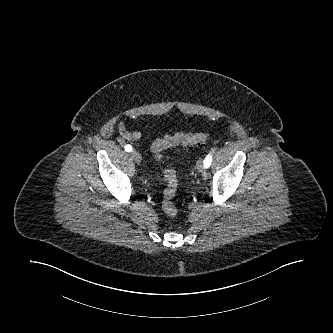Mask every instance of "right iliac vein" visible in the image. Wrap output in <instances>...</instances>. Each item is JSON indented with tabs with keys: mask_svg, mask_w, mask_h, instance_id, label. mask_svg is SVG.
<instances>
[{
	"mask_svg": "<svg viewBox=\"0 0 333 333\" xmlns=\"http://www.w3.org/2000/svg\"><path fill=\"white\" fill-rule=\"evenodd\" d=\"M131 157L134 159V161L136 162V163H140L141 162V155H140V153H138L137 151H135V150H133L132 152H131Z\"/></svg>",
	"mask_w": 333,
	"mask_h": 333,
	"instance_id": "1",
	"label": "right iliac vein"
}]
</instances>
